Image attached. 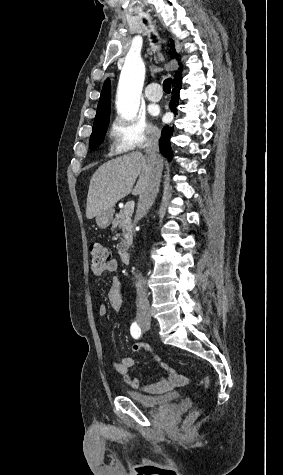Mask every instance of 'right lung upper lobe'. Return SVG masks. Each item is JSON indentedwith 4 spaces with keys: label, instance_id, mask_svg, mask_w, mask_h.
I'll list each match as a JSON object with an SVG mask.
<instances>
[{
    "label": "right lung upper lobe",
    "instance_id": "right-lung-upper-lobe-1",
    "mask_svg": "<svg viewBox=\"0 0 283 475\" xmlns=\"http://www.w3.org/2000/svg\"><path fill=\"white\" fill-rule=\"evenodd\" d=\"M169 46L173 49L172 50V53H171V57H176L178 60H180L178 58V55L176 54V51L174 49V43L173 41L171 40ZM181 68H179L180 70ZM178 72H176L177 74ZM177 76V75H176ZM175 76V77H176ZM174 77V78H175ZM110 100H111V85H110V80L107 79L103 85V88H102V91H101V96H100V100H99V103H98V107L99 106H103V105H110Z\"/></svg>",
    "mask_w": 283,
    "mask_h": 475
}]
</instances>
